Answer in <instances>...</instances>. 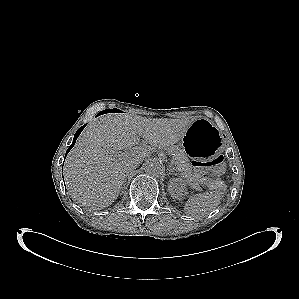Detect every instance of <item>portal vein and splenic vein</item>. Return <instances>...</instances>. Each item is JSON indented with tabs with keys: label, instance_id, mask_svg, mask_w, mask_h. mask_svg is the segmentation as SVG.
Here are the masks:
<instances>
[{
	"label": "portal vein and splenic vein",
	"instance_id": "18ae733b",
	"mask_svg": "<svg viewBox=\"0 0 299 299\" xmlns=\"http://www.w3.org/2000/svg\"><path fill=\"white\" fill-rule=\"evenodd\" d=\"M125 153L124 152H118L117 157H122Z\"/></svg>",
	"mask_w": 299,
	"mask_h": 299
}]
</instances>
